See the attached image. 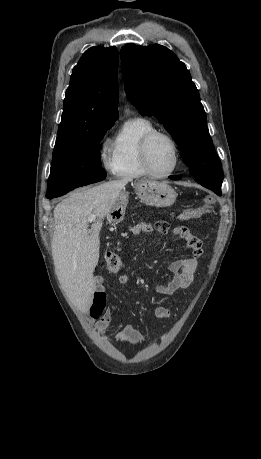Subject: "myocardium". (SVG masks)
Returning <instances> with one entry per match:
<instances>
[{
	"instance_id": "1",
	"label": "myocardium",
	"mask_w": 261,
	"mask_h": 459,
	"mask_svg": "<svg viewBox=\"0 0 261 459\" xmlns=\"http://www.w3.org/2000/svg\"><path fill=\"white\" fill-rule=\"evenodd\" d=\"M158 137L166 138L171 143L173 150H174V158H175L174 165L172 169L166 173L155 172L152 169L151 164H150V148H151L153 141ZM140 156H141L142 165L144 169L146 170V172L155 178H166V177L173 175L175 171L178 169V166L180 163V150H179L177 141L171 134L165 131H160V130H154L148 133L143 138L141 142V147H140Z\"/></svg>"
}]
</instances>
